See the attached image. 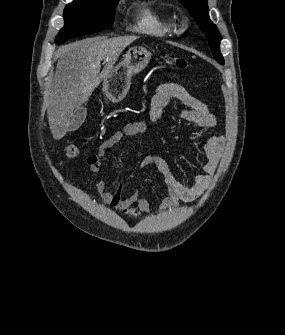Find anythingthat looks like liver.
<instances>
[{"instance_id": "6515ba94", "label": "liver", "mask_w": 285, "mask_h": 335, "mask_svg": "<svg viewBox=\"0 0 285 335\" xmlns=\"http://www.w3.org/2000/svg\"><path fill=\"white\" fill-rule=\"evenodd\" d=\"M139 36L86 38L59 48L55 80L48 94L47 116L54 140L64 138L75 110L88 102L121 52ZM101 62H106L102 74Z\"/></svg>"}]
</instances>
